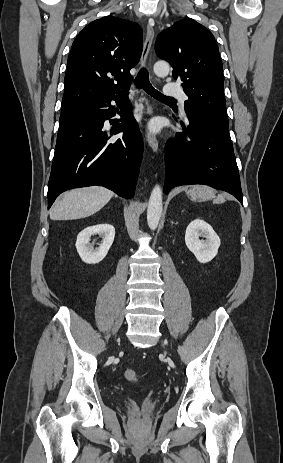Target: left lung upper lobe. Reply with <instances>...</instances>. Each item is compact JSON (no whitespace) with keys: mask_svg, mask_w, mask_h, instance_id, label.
I'll return each instance as SVG.
<instances>
[{"mask_svg":"<svg viewBox=\"0 0 283 463\" xmlns=\"http://www.w3.org/2000/svg\"><path fill=\"white\" fill-rule=\"evenodd\" d=\"M155 50L172 65V76L183 81L187 115L228 126L223 67L212 33L184 18L159 34Z\"/></svg>","mask_w":283,"mask_h":463,"instance_id":"5c2ea615","label":"left lung upper lobe"}]
</instances>
